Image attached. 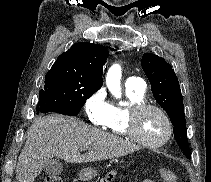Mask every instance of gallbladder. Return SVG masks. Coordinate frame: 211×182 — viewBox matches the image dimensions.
Here are the masks:
<instances>
[{
    "label": "gallbladder",
    "mask_w": 211,
    "mask_h": 182,
    "mask_svg": "<svg viewBox=\"0 0 211 182\" xmlns=\"http://www.w3.org/2000/svg\"><path fill=\"white\" fill-rule=\"evenodd\" d=\"M44 170L50 175H59L63 170V165L59 159L52 158L49 159L48 162L44 165Z\"/></svg>",
    "instance_id": "obj_1"
}]
</instances>
